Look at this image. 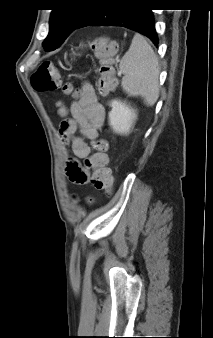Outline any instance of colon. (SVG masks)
Instances as JSON below:
<instances>
[{"label":"colon","mask_w":213,"mask_h":338,"mask_svg":"<svg viewBox=\"0 0 213 338\" xmlns=\"http://www.w3.org/2000/svg\"><path fill=\"white\" fill-rule=\"evenodd\" d=\"M90 45L98 59L97 85L100 93L113 91L116 87L115 62L119 57V46L106 37H97L90 40ZM33 89L40 93L54 92L61 87V74L56 65L50 61L43 62L39 69L30 78ZM65 94L72 93L69 84L62 86ZM61 126L73 129L72 120H64ZM108 143L99 138L93 142V153L84 161L70 162L67 167L68 177L73 180L76 175L85 169L92 170V183L96 190L109 192L112 190L114 176L108 167Z\"/></svg>","instance_id":"1"}]
</instances>
